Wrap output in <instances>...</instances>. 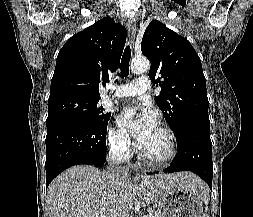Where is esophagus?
Masks as SVG:
<instances>
[{
	"mask_svg": "<svg viewBox=\"0 0 253 217\" xmlns=\"http://www.w3.org/2000/svg\"><path fill=\"white\" fill-rule=\"evenodd\" d=\"M127 28L129 32V41L131 47H134L135 37H136V23L134 19H129L127 21Z\"/></svg>",
	"mask_w": 253,
	"mask_h": 217,
	"instance_id": "obj_1",
	"label": "esophagus"
}]
</instances>
